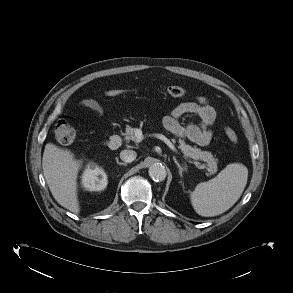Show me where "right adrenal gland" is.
Listing matches in <instances>:
<instances>
[{
    "label": "right adrenal gland",
    "instance_id": "right-adrenal-gland-1",
    "mask_svg": "<svg viewBox=\"0 0 293 293\" xmlns=\"http://www.w3.org/2000/svg\"><path fill=\"white\" fill-rule=\"evenodd\" d=\"M115 160H116L117 164H119L121 166H126L127 165L126 163L120 162L117 157L115 158Z\"/></svg>",
    "mask_w": 293,
    "mask_h": 293
}]
</instances>
